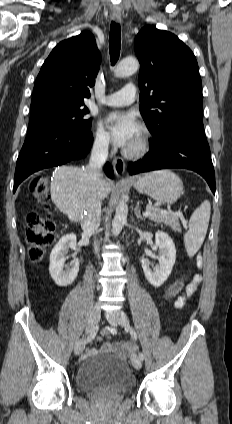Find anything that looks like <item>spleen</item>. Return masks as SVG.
<instances>
[{
  "mask_svg": "<svg viewBox=\"0 0 232 424\" xmlns=\"http://www.w3.org/2000/svg\"><path fill=\"white\" fill-rule=\"evenodd\" d=\"M211 205L205 200L192 213L189 230L184 235V244L189 257H193L200 249L208 229Z\"/></svg>",
  "mask_w": 232,
  "mask_h": 424,
  "instance_id": "obj_1",
  "label": "spleen"
}]
</instances>
